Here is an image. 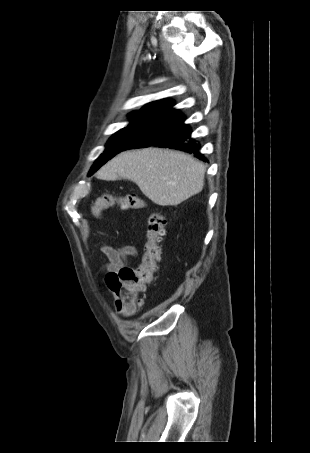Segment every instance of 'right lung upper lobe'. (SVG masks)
<instances>
[{"label": "right lung upper lobe", "mask_w": 310, "mask_h": 453, "mask_svg": "<svg viewBox=\"0 0 310 453\" xmlns=\"http://www.w3.org/2000/svg\"><path fill=\"white\" fill-rule=\"evenodd\" d=\"M173 102L170 100H158L146 104L139 111H134L130 114L131 117H151L159 118L166 113L172 106Z\"/></svg>", "instance_id": "obj_1"}]
</instances>
